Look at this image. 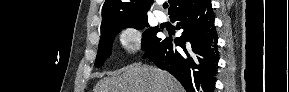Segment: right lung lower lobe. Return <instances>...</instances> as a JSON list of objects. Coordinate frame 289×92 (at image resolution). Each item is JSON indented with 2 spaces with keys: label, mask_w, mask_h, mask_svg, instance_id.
Returning a JSON list of instances; mask_svg holds the SVG:
<instances>
[{
  "label": "right lung lower lobe",
  "mask_w": 289,
  "mask_h": 92,
  "mask_svg": "<svg viewBox=\"0 0 289 92\" xmlns=\"http://www.w3.org/2000/svg\"><path fill=\"white\" fill-rule=\"evenodd\" d=\"M177 21L182 35L172 40L158 38L146 50L144 58L170 72L187 92H212L219 60L217 32L211 0L170 17Z\"/></svg>",
  "instance_id": "1"
}]
</instances>
